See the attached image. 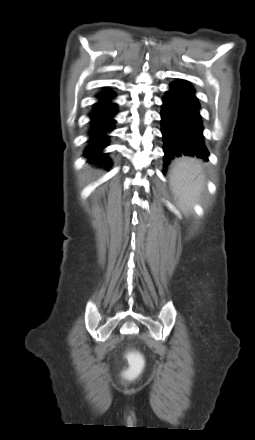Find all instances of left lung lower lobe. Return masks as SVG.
I'll return each mask as SVG.
<instances>
[{
	"label": "left lung lower lobe",
	"instance_id": "0a47b994",
	"mask_svg": "<svg viewBox=\"0 0 255 440\" xmlns=\"http://www.w3.org/2000/svg\"><path fill=\"white\" fill-rule=\"evenodd\" d=\"M161 118L164 173L173 159L183 155L208 160L200 105L191 84L184 80L170 84L163 97Z\"/></svg>",
	"mask_w": 255,
	"mask_h": 440
}]
</instances>
